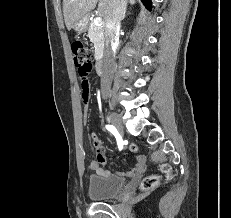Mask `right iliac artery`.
Segmentation results:
<instances>
[{
  "label": "right iliac artery",
  "mask_w": 231,
  "mask_h": 218,
  "mask_svg": "<svg viewBox=\"0 0 231 218\" xmlns=\"http://www.w3.org/2000/svg\"><path fill=\"white\" fill-rule=\"evenodd\" d=\"M106 128H107V130H109L116 137L118 148H119V150H122L123 141H122V138H121L120 134L116 130V128L113 125H106Z\"/></svg>",
  "instance_id": "right-iliac-artery-1"
}]
</instances>
